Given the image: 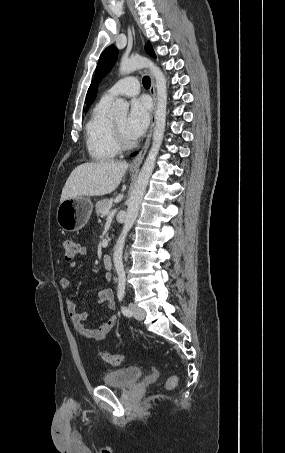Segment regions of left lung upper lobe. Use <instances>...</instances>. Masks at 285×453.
<instances>
[{"mask_svg":"<svg viewBox=\"0 0 285 453\" xmlns=\"http://www.w3.org/2000/svg\"><path fill=\"white\" fill-rule=\"evenodd\" d=\"M145 51L152 57H156L154 51H153V48L152 46L147 43L145 45ZM117 54H118V50L116 49V47L114 45H110L109 47H107L103 53L101 54L100 58H99V61H98V64H97V67H96V72H95V80H96V84L98 85V83L102 80V78L110 71V69L113 67L114 63L116 62L117 60ZM96 90H97V87L95 89V92L91 98V100L89 101V103L87 104V109L89 107V105L94 101L95 99V95H96Z\"/></svg>","mask_w":285,"mask_h":453,"instance_id":"left-lung-upper-lobe-1","label":"left lung upper lobe"}]
</instances>
